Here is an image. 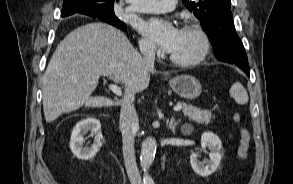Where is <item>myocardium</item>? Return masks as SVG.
Here are the masks:
<instances>
[{
  "label": "myocardium",
  "instance_id": "1",
  "mask_svg": "<svg viewBox=\"0 0 293 184\" xmlns=\"http://www.w3.org/2000/svg\"><path fill=\"white\" fill-rule=\"evenodd\" d=\"M182 30L194 31L201 40V49L199 53L191 59H179L171 54L169 55V59L171 62L178 66L188 67L197 65L208 56L211 50V38L207 31L200 24L197 23H188L184 25Z\"/></svg>",
  "mask_w": 293,
  "mask_h": 184
}]
</instances>
